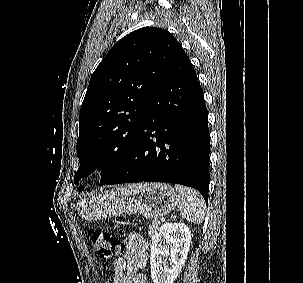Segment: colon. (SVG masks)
Segmentation results:
<instances>
[{
    "label": "colon",
    "instance_id": "colon-1",
    "mask_svg": "<svg viewBox=\"0 0 303 283\" xmlns=\"http://www.w3.org/2000/svg\"><path fill=\"white\" fill-rule=\"evenodd\" d=\"M89 237L98 256L104 260L111 259L123 249L122 241L107 230L92 229Z\"/></svg>",
    "mask_w": 303,
    "mask_h": 283
}]
</instances>
